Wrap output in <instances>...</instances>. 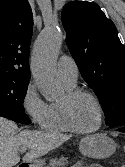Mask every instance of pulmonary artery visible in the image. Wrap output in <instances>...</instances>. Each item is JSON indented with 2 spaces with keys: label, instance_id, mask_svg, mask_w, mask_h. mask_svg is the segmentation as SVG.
I'll list each match as a JSON object with an SVG mask.
<instances>
[{
  "label": "pulmonary artery",
  "instance_id": "1",
  "mask_svg": "<svg viewBox=\"0 0 125 167\" xmlns=\"http://www.w3.org/2000/svg\"><path fill=\"white\" fill-rule=\"evenodd\" d=\"M57 70L61 80L76 83L79 70L75 60L71 56H61L57 62Z\"/></svg>",
  "mask_w": 125,
  "mask_h": 167
}]
</instances>
